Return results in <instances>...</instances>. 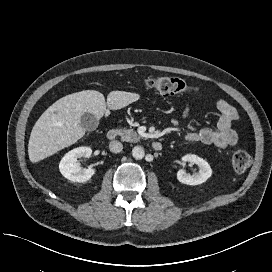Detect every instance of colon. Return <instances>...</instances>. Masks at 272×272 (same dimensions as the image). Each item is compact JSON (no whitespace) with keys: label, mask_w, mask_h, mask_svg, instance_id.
<instances>
[{"label":"colon","mask_w":272,"mask_h":272,"mask_svg":"<svg viewBox=\"0 0 272 272\" xmlns=\"http://www.w3.org/2000/svg\"><path fill=\"white\" fill-rule=\"evenodd\" d=\"M145 86L157 93L170 96L176 95L185 91L192 90L182 79L170 76L149 77L145 81ZM251 157L244 150H237L232 156V166L238 173H242L249 168Z\"/></svg>","instance_id":"obj_1"}]
</instances>
